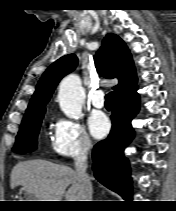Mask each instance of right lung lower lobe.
<instances>
[{
  "mask_svg": "<svg viewBox=\"0 0 176 211\" xmlns=\"http://www.w3.org/2000/svg\"><path fill=\"white\" fill-rule=\"evenodd\" d=\"M136 90L137 88L122 97H115L111 116L112 130L108 138L97 143L93 149V170L96 179L126 201L132 199V185L124 149L134 137L131 120L140 107Z\"/></svg>",
  "mask_w": 176,
  "mask_h": 211,
  "instance_id": "obj_1",
  "label": "right lung lower lobe"
}]
</instances>
